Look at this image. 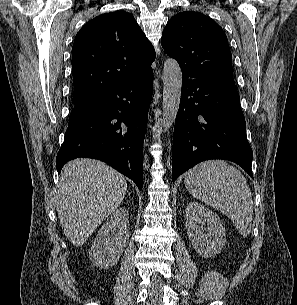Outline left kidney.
Listing matches in <instances>:
<instances>
[{
	"label": "left kidney",
	"instance_id": "1",
	"mask_svg": "<svg viewBox=\"0 0 297 305\" xmlns=\"http://www.w3.org/2000/svg\"><path fill=\"white\" fill-rule=\"evenodd\" d=\"M186 230L194 249L202 257L220 253L226 244L223 222L211 210L198 202H189L186 207ZM206 227H203L204 224Z\"/></svg>",
	"mask_w": 297,
	"mask_h": 305
}]
</instances>
